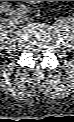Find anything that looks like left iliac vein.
Wrapping results in <instances>:
<instances>
[{"label": "left iliac vein", "instance_id": "4c4485c4", "mask_svg": "<svg viewBox=\"0 0 74 122\" xmlns=\"http://www.w3.org/2000/svg\"><path fill=\"white\" fill-rule=\"evenodd\" d=\"M20 15L22 16V18L24 20H28L29 19V17L27 15H25L23 12H20Z\"/></svg>", "mask_w": 74, "mask_h": 122}]
</instances>
